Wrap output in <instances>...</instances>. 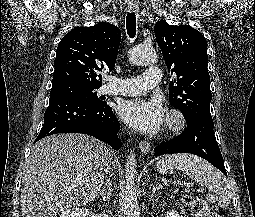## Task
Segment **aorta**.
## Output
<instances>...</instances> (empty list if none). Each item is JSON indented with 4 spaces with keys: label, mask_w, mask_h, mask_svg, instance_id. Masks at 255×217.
<instances>
[{
    "label": "aorta",
    "mask_w": 255,
    "mask_h": 217,
    "mask_svg": "<svg viewBox=\"0 0 255 217\" xmlns=\"http://www.w3.org/2000/svg\"><path fill=\"white\" fill-rule=\"evenodd\" d=\"M128 58L130 63L133 65H149L156 61L157 54L152 48L137 46L129 50ZM135 177V154L130 153L125 164V196L123 200L124 217H140Z\"/></svg>",
    "instance_id": "aorta-1"
}]
</instances>
